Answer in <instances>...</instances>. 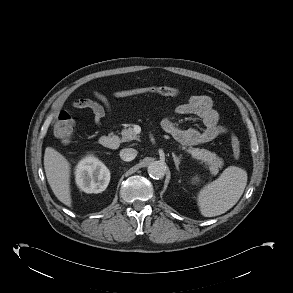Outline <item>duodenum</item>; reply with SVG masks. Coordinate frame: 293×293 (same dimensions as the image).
Returning a JSON list of instances; mask_svg holds the SVG:
<instances>
[{
    "label": "duodenum",
    "instance_id": "obj_1",
    "mask_svg": "<svg viewBox=\"0 0 293 293\" xmlns=\"http://www.w3.org/2000/svg\"><path fill=\"white\" fill-rule=\"evenodd\" d=\"M100 144L107 149H116L119 146V138L115 135H104L100 138Z\"/></svg>",
    "mask_w": 293,
    "mask_h": 293
}]
</instances>
